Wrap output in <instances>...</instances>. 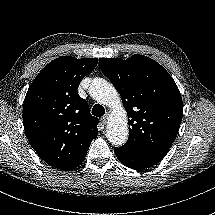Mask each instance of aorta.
I'll use <instances>...</instances> for the list:
<instances>
[{
    "instance_id": "762f6f07",
    "label": "aorta",
    "mask_w": 215,
    "mask_h": 215,
    "mask_svg": "<svg viewBox=\"0 0 215 215\" xmlns=\"http://www.w3.org/2000/svg\"><path fill=\"white\" fill-rule=\"evenodd\" d=\"M90 96L101 104L111 105L116 116L108 124L107 139L114 146H122L128 140L127 113L116 88L102 78H95L90 86Z\"/></svg>"
}]
</instances>
